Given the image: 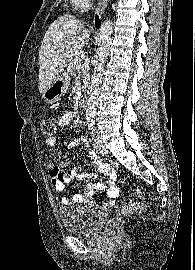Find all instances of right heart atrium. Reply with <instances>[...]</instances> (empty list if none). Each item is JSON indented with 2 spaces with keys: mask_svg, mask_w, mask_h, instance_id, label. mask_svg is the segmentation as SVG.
<instances>
[{
  "mask_svg": "<svg viewBox=\"0 0 195 270\" xmlns=\"http://www.w3.org/2000/svg\"><path fill=\"white\" fill-rule=\"evenodd\" d=\"M81 2V6H84L85 4H87L90 0H79Z\"/></svg>",
  "mask_w": 195,
  "mask_h": 270,
  "instance_id": "1",
  "label": "right heart atrium"
}]
</instances>
